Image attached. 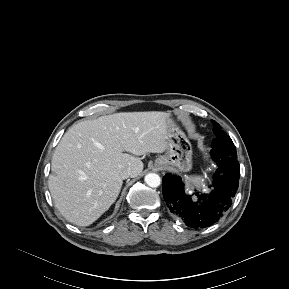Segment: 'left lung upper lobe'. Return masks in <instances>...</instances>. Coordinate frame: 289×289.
<instances>
[{
	"mask_svg": "<svg viewBox=\"0 0 289 289\" xmlns=\"http://www.w3.org/2000/svg\"><path fill=\"white\" fill-rule=\"evenodd\" d=\"M211 122L214 134L216 135L215 140L212 142V152L219 157L237 155L231 138L221 129V126L216 121L211 120Z\"/></svg>",
	"mask_w": 289,
	"mask_h": 289,
	"instance_id": "obj_1",
	"label": "left lung upper lobe"
}]
</instances>
